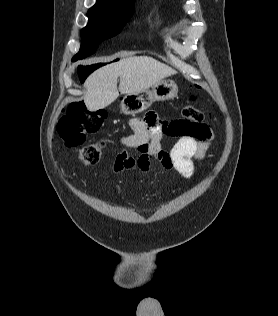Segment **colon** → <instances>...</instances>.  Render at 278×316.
Masks as SVG:
<instances>
[{
    "label": "colon",
    "mask_w": 278,
    "mask_h": 316,
    "mask_svg": "<svg viewBox=\"0 0 278 316\" xmlns=\"http://www.w3.org/2000/svg\"><path fill=\"white\" fill-rule=\"evenodd\" d=\"M184 120L173 123L170 133L172 135L202 134L206 121L210 116L192 105H186L182 110ZM106 118L102 111H89L84 102H72L58 123L57 132L61 140L68 147H81L80 158L85 164L96 163L103 151L101 141L84 145L88 134L99 130Z\"/></svg>",
    "instance_id": "5ec220e1"
}]
</instances>
